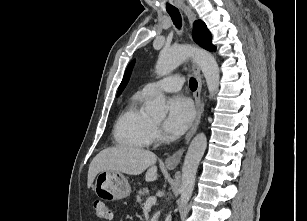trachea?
<instances>
[{"label":"trachea","mask_w":307,"mask_h":221,"mask_svg":"<svg viewBox=\"0 0 307 221\" xmlns=\"http://www.w3.org/2000/svg\"><path fill=\"white\" fill-rule=\"evenodd\" d=\"M167 12L169 13L174 25L176 28L180 29L182 26V18L179 13L178 9H168ZM198 83L195 78H190L189 87L192 91L197 89Z\"/></svg>","instance_id":"trachea-1"}]
</instances>
